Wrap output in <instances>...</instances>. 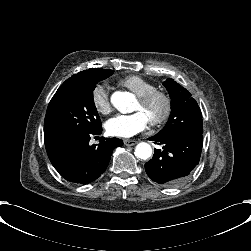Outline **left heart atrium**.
Here are the masks:
<instances>
[{"mask_svg": "<svg viewBox=\"0 0 251 251\" xmlns=\"http://www.w3.org/2000/svg\"><path fill=\"white\" fill-rule=\"evenodd\" d=\"M151 122L150 116L142 109L130 114H119L110 118L106 130L112 136L131 137L143 131Z\"/></svg>", "mask_w": 251, "mask_h": 251, "instance_id": "1", "label": "left heart atrium"}]
</instances>
